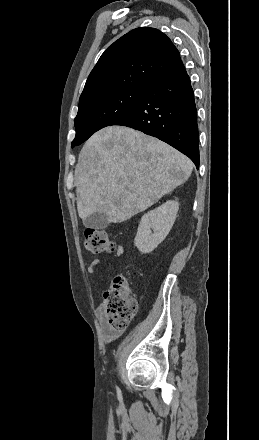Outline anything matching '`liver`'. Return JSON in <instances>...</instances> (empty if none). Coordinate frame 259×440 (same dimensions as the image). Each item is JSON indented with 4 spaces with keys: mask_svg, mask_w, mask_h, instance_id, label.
I'll use <instances>...</instances> for the list:
<instances>
[{
    "mask_svg": "<svg viewBox=\"0 0 259 440\" xmlns=\"http://www.w3.org/2000/svg\"><path fill=\"white\" fill-rule=\"evenodd\" d=\"M192 161L165 142L124 126H108L84 144L76 166L77 209L84 220L104 213L121 223L185 183Z\"/></svg>",
    "mask_w": 259,
    "mask_h": 440,
    "instance_id": "obj_1",
    "label": "liver"
}]
</instances>
